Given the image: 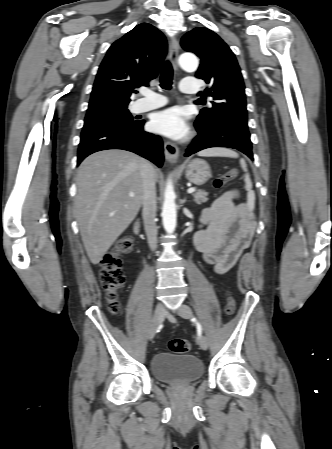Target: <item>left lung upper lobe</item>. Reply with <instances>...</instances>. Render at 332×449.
<instances>
[{
    "mask_svg": "<svg viewBox=\"0 0 332 449\" xmlns=\"http://www.w3.org/2000/svg\"><path fill=\"white\" fill-rule=\"evenodd\" d=\"M181 45L200 57L196 77L209 85L204 94L208 92L214 99L212 108L200 111L195 125L204 128L226 120L247 121L245 86L240 67L228 45L213 31L200 27L186 33Z\"/></svg>",
    "mask_w": 332,
    "mask_h": 449,
    "instance_id": "obj_1",
    "label": "left lung upper lobe"
}]
</instances>
